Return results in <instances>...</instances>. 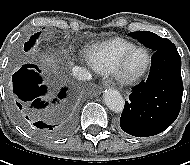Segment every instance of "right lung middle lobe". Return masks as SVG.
<instances>
[{
    "instance_id": "obj_1",
    "label": "right lung middle lobe",
    "mask_w": 190,
    "mask_h": 165,
    "mask_svg": "<svg viewBox=\"0 0 190 165\" xmlns=\"http://www.w3.org/2000/svg\"><path fill=\"white\" fill-rule=\"evenodd\" d=\"M39 34L40 32L30 37L29 41H27L24 45V51H28L34 45L35 40L38 38Z\"/></svg>"
}]
</instances>
